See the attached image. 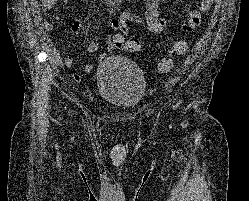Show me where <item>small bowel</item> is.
Instances as JSON below:
<instances>
[{
    "label": "small bowel",
    "mask_w": 249,
    "mask_h": 201,
    "mask_svg": "<svg viewBox=\"0 0 249 201\" xmlns=\"http://www.w3.org/2000/svg\"><path fill=\"white\" fill-rule=\"evenodd\" d=\"M58 0H43V3L51 7L57 3ZM215 0H200V5L197 10H191L186 13V22L182 25L184 31H191L198 27L201 23L202 14L209 11ZM128 22H135L138 24L146 25L148 30L154 34L162 32L168 25V18L160 13V0H155L145 11L143 15L125 11L120 14L119 17H114L110 20L109 26L111 33L107 36V41H111L114 38L123 40L129 33ZM43 27L46 31H52L54 25L51 22H44ZM81 28L79 21H74L71 24V30L73 33H77ZM108 53H111L113 49L105 47ZM99 49V44L96 39H93L86 48V53L92 54ZM171 52V49L168 53ZM106 58V54L102 53L98 56L99 61H103ZM64 65L68 68L74 65V59L72 57H66L64 59ZM94 70V65L89 64L85 67V73H91ZM76 78L79 74L74 75Z\"/></svg>",
    "instance_id": "1"
}]
</instances>
